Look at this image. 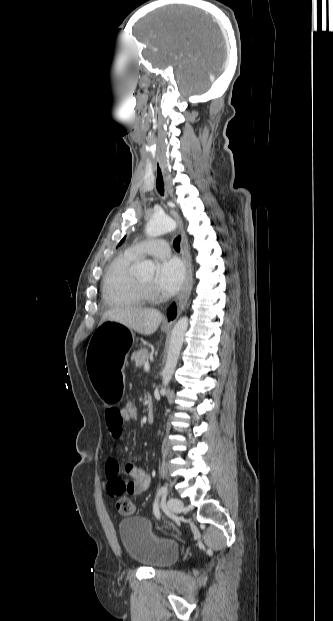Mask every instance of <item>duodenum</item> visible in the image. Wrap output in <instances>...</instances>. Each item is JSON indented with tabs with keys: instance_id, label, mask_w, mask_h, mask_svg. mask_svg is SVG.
<instances>
[{
	"instance_id": "1",
	"label": "duodenum",
	"mask_w": 333,
	"mask_h": 621,
	"mask_svg": "<svg viewBox=\"0 0 333 621\" xmlns=\"http://www.w3.org/2000/svg\"><path fill=\"white\" fill-rule=\"evenodd\" d=\"M147 419H148L149 422L153 421V419H154V409H153V405H152L150 399H148Z\"/></svg>"
}]
</instances>
